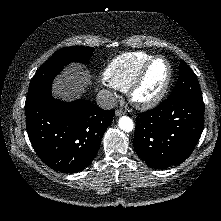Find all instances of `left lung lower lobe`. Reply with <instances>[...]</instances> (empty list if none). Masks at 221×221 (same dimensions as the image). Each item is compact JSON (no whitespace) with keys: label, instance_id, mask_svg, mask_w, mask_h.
<instances>
[{"label":"left lung lower lobe","instance_id":"obj_1","mask_svg":"<svg viewBox=\"0 0 221 221\" xmlns=\"http://www.w3.org/2000/svg\"><path fill=\"white\" fill-rule=\"evenodd\" d=\"M203 127V101L167 98L136 118L133 146L147 166L165 169L189 157Z\"/></svg>","mask_w":221,"mask_h":221}]
</instances>
